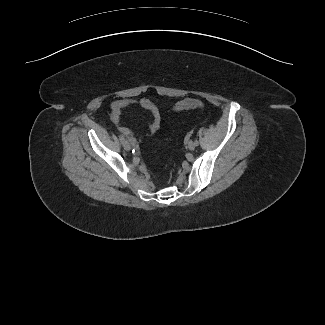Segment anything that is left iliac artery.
<instances>
[{
  "label": "left iliac artery",
  "mask_w": 325,
  "mask_h": 325,
  "mask_svg": "<svg viewBox=\"0 0 325 325\" xmlns=\"http://www.w3.org/2000/svg\"><path fill=\"white\" fill-rule=\"evenodd\" d=\"M194 143H195L196 146H198V144H199V142L197 140H195Z\"/></svg>",
  "instance_id": "obj_1"
}]
</instances>
